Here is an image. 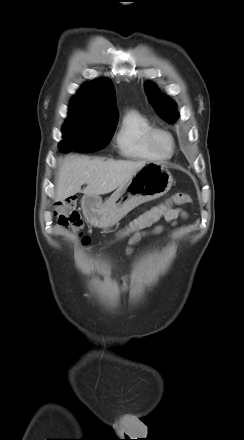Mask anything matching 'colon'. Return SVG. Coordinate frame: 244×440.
I'll return each mask as SVG.
<instances>
[{
  "label": "colon",
  "mask_w": 244,
  "mask_h": 440,
  "mask_svg": "<svg viewBox=\"0 0 244 440\" xmlns=\"http://www.w3.org/2000/svg\"><path fill=\"white\" fill-rule=\"evenodd\" d=\"M191 202V198L186 193H176L166 202L152 207L151 209L143 212L123 228H121L116 234L112 242L123 240L129 236L134 235L141 230L150 227L157 222L165 213L172 208L173 205L187 204ZM56 217L58 223L64 228L71 229L79 232L82 229V220L80 218L77 202L74 197L68 198L64 201L58 202L56 205ZM83 242L87 244L89 242L88 237L83 238Z\"/></svg>",
  "instance_id": "1"
}]
</instances>
